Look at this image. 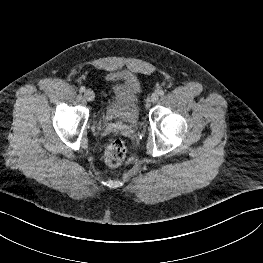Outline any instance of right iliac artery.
Segmentation results:
<instances>
[{
  "label": "right iliac artery",
  "mask_w": 263,
  "mask_h": 263,
  "mask_svg": "<svg viewBox=\"0 0 263 263\" xmlns=\"http://www.w3.org/2000/svg\"><path fill=\"white\" fill-rule=\"evenodd\" d=\"M80 92H85V87L84 86L80 87Z\"/></svg>",
  "instance_id": "obj_1"
}]
</instances>
